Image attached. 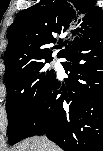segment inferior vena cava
<instances>
[{
    "label": "inferior vena cava",
    "instance_id": "602c4592",
    "mask_svg": "<svg viewBox=\"0 0 103 151\" xmlns=\"http://www.w3.org/2000/svg\"><path fill=\"white\" fill-rule=\"evenodd\" d=\"M44 145H45V147H46V151H51L50 149H48L49 148V146H50V143L47 141V140H44Z\"/></svg>",
    "mask_w": 103,
    "mask_h": 151
}]
</instances>
